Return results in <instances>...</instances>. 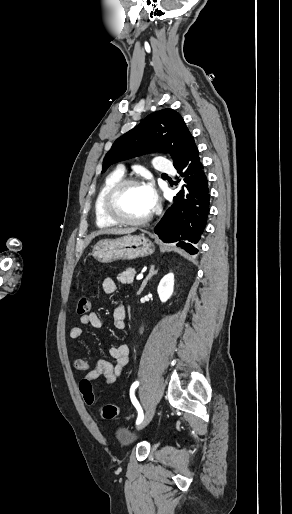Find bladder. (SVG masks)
<instances>
[{
	"mask_svg": "<svg viewBox=\"0 0 292 514\" xmlns=\"http://www.w3.org/2000/svg\"><path fill=\"white\" fill-rule=\"evenodd\" d=\"M116 439L124 445H128L136 441L139 437L136 436L129 428L121 427L115 433ZM152 442V439H148Z\"/></svg>",
	"mask_w": 292,
	"mask_h": 514,
	"instance_id": "1",
	"label": "bladder"
}]
</instances>
